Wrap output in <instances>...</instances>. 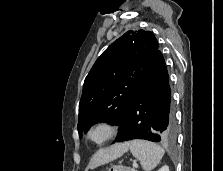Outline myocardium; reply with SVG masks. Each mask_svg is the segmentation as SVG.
<instances>
[{
    "instance_id": "myocardium-1",
    "label": "myocardium",
    "mask_w": 223,
    "mask_h": 171,
    "mask_svg": "<svg viewBox=\"0 0 223 171\" xmlns=\"http://www.w3.org/2000/svg\"><path fill=\"white\" fill-rule=\"evenodd\" d=\"M97 131H103V136L96 139L94 134ZM117 133V125L110 120H99L92 124L87 130V139L96 146H102L109 142Z\"/></svg>"
}]
</instances>
